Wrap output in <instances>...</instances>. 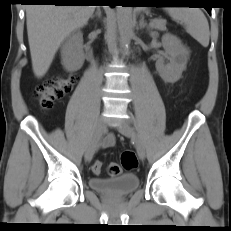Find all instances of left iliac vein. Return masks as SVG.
I'll use <instances>...</instances> for the list:
<instances>
[{
	"label": "left iliac vein",
	"instance_id": "1",
	"mask_svg": "<svg viewBox=\"0 0 231 231\" xmlns=\"http://www.w3.org/2000/svg\"><path fill=\"white\" fill-rule=\"evenodd\" d=\"M117 129L122 135L126 137H131L135 140L138 156L141 160H144L146 156L145 147L142 141L137 137L134 128L124 123L118 125Z\"/></svg>",
	"mask_w": 231,
	"mask_h": 231
}]
</instances>
